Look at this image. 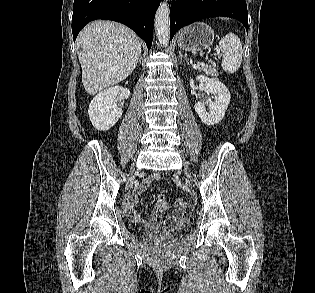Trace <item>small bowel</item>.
Returning <instances> with one entry per match:
<instances>
[{
  "label": "small bowel",
  "instance_id": "small-bowel-1",
  "mask_svg": "<svg viewBox=\"0 0 315 293\" xmlns=\"http://www.w3.org/2000/svg\"><path fill=\"white\" fill-rule=\"evenodd\" d=\"M159 179V174H152L140 183L134 192L126 199L124 208L127 214L135 220H141L140 214L136 211L135 205L138 200L139 194L145 191L151 183ZM169 206L163 195H159L156 203V207L151 215V220L155 223L161 220V215L164 211L168 210ZM185 217L184 211H173L172 215L168 218L169 221L181 220Z\"/></svg>",
  "mask_w": 315,
  "mask_h": 293
}]
</instances>
